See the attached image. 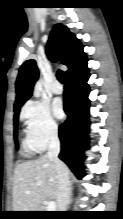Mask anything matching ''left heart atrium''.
Returning <instances> with one entry per match:
<instances>
[{"label":"left heart atrium","instance_id":"left-heart-atrium-1","mask_svg":"<svg viewBox=\"0 0 123 219\" xmlns=\"http://www.w3.org/2000/svg\"><path fill=\"white\" fill-rule=\"evenodd\" d=\"M53 112L57 118H63L64 116L63 106L59 100L53 102Z\"/></svg>","mask_w":123,"mask_h":219}]
</instances>
